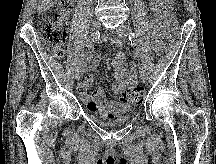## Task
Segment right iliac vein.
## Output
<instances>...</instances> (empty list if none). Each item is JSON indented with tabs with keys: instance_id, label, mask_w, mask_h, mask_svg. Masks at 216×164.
Returning a JSON list of instances; mask_svg holds the SVG:
<instances>
[{
	"instance_id": "1",
	"label": "right iliac vein",
	"mask_w": 216,
	"mask_h": 164,
	"mask_svg": "<svg viewBox=\"0 0 216 164\" xmlns=\"http://www.w3.org/2000/svg\"><path fill=\"white\" fill-rule=\"evenodd\" d=\"M100 28H101V23L99 21H94L91 27L92 35L95 34L96 32H99ZM81 76H82V70L81 69L76 70L75 79L80 80Z\"/></svg>"
}]
</instances>
